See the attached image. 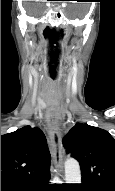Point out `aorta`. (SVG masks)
Wrapping results in <instances>:
<instances>
[{"mask_svg": "<svg viewBox=\"0 0 115 191\" xmlns=\"http://www.w3.org/2000/svg\"><path fill=\"white\" fill-rule=\"evenodd\" d=\"M65 181L67 184L81 183L80 166L73 158H69L65 161Z\"/></svg>", "mask_w": 115, "mask_h": 191, "instance_id": "aorta-1", "label": "aorta"}]
</instances>
